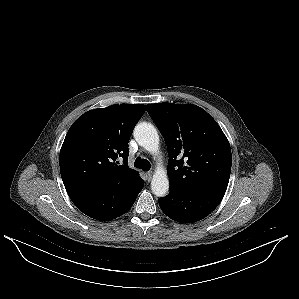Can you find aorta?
<instances>
[{
    "mask_svg": "<svg viewBox=\"0 0 299 299\" xmlns=\"http://www.w3.org/2000/svg\"><path fill=\"white\" fill-rule=\"evenodd\" d=\"M134 138L137 143L152 154L159 152V135L156 128L147 122L139 123L134 128ZM151 190L157 197H164L169 190V179L167 173L157 168L152 181Z\"/></svg>",
    "mask_w": 299,
    "mask_h": 299,
    "instance_id": "1",
    "label": "aorta"
}]
</instances>
